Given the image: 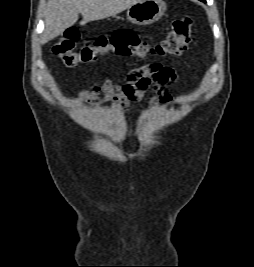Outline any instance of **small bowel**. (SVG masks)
Returning a JSON list of instances; mask_svg holds the SVG:
<instances>
[{
	"label": "small bowel",
	"instance_id": "c3829d8e",
	"mask_svg": "<svg viewBox=\"0 0 254 267\" xmlns=\"http://www.w3.org/2000/svg\"><path fill=\"white\" fill-rule=\"evenodd\" d=\"M176 81L177 73L173 67L160 63L146 64L130 70L125 75L122 86H115L111 81H106L101 86L80 91L76 102L95 103L102 98L110 101L118 113L124 114L130 102L141 101L151 91L153 96L149 101V108L154 110L159 105L171 104L173 98L165 86Z\"/></svg>",
	"mask_w": 254,
	"mask_h": 267
}]
</instances>
